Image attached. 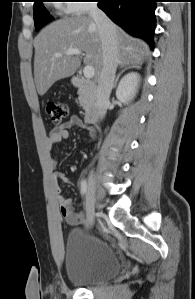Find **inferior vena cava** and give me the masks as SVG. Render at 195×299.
<instances>
[{
	"instance_id": "602c4592",
	"label": "inferior vena cava",
	"mask_w": 195,
	"mask_h": 299,
	"mask_svg": "<svg viewBox=\"0 0 195 299\" xmlns=\"http://www.w3.org/2000/svg\"><path fill=\"white\" fill-rule=\"evenodd\" d=\"M89 16L97 25L103 53V66L98 80L96 108L100 119L106 114V107L113 88L115 73L119 60V43L116 27L106 14L98 8L97 3L89 5Z\"/></svg>"
}]
</instances>
